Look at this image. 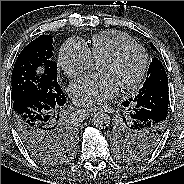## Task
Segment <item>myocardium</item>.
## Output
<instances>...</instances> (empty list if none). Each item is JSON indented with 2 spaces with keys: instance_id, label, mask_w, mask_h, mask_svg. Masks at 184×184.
I'll return each instance as SVG.
<instances>
[{
  "instance_id": "f54148a6",
  "label": "myocardium",
  "mask_w": 184,
  "mask_h": 184,
  "mask_svg": "<svg viewBox=\"0 0 184 184\" xmlns=\"http://www.w3.org/2000/svg\"><path fill=\"white\" fill-rule=\"evenodd\" d=\"M131 50H136L141 54L142 62L136 75L131 80L120 85L121 89L123 90H130L137 87L141 82V80L143 79L149 64V55L146 49L137 43L126 44L119 47L112 54L106 56L100 61L107 63H116L122 58L124 54H126L128 51Z\"/></svg>"
}]
</instances>
